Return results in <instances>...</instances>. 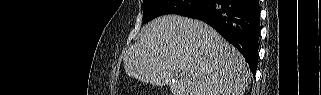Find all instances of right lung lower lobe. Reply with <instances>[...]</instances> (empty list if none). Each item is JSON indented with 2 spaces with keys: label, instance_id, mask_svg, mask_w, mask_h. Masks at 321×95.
<instances>
[{
  "label": "right lung lower lobe",
  "instance_id": "right-lung-lower-lobe-1",
  "mask_svg": "<svg viewBox=\"0 0 321 95\" xmlns=\"http://www.w3.org/2000/svg\"><path fill=\"white\" fill-rule=\"evenodd\" d=\"M187 17L212 26L242 53L255 75L260 35L258 0H207L197 12Z\"/></svg>",
  "mask_w": 321,
  "mask_h": 95
}]
</instances>
